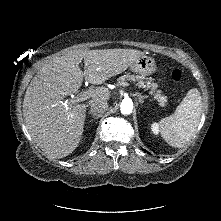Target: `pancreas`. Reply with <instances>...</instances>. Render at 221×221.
Segmentation results:
<instances>
[{"label": "pancreas", "instance_id": "pancreas-1", "mask_svg": "<svg viewBox=\"0 0 221 221\" xmlns=\"http://www.w3.org/2000/svg\"><path fill=\"white\" fill-rule=\"evenodd\" d=\"M123 81H133L136 82V85L140 88L150 90V94L153 95V98L159 102V105L165 107L167 105V97L162 94V91L157 89V83L152 82L151 78H146L145 76L139 75H130L125 74L118 78V82Z\"/></svg>", "mask_w": 221, "mask_h": 221}]
</instances>
